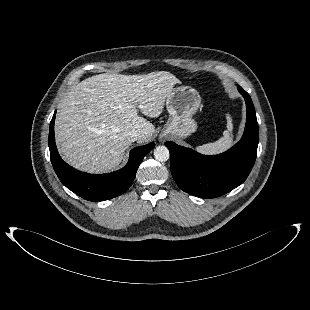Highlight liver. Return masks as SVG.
<instances>
[{
    "label": "liver",
    "instance_id": "obj_1",
    "mask_svg": "<svg viewBox=\"0 0 310 310\" xmlns=\"http://www.w3.org/2000/svg\"><path fill=\"white\" fill-rule=\"evenodd\" d=\"M181 83L167 71L141 75L99 74L81 81L60 104L55 121L56 143L73 167L103 173L116 168L132 141L128 133L150 140L155 127L141 113L158 117L168 95Z\"/></svg>",
    "mask_w": 310,
    "mask_h": 310
}]
</instances>
